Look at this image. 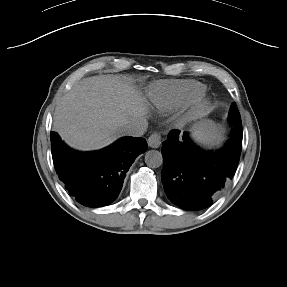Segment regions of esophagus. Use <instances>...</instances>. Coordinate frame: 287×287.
I'll return each instance as SVG.
<instances>
[{
	"label": "esophagus",
	"mask_w": 287,
	"mask_h": 287,
	"mask_svg": "<svg viewBox=\"0 0 287 287\" xmlns=\"http://www.w3.org/2000/svg\"><path fill=\"white\" fill-rule=\"evenodd\" d=\"M161 135L160 133L154 132L150 137L148 138V145L151 148H158L161 145Z\"/></svg>",
	"instance_id": "obj_1"
}]
</instances>
